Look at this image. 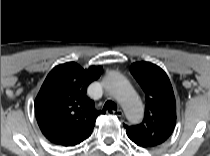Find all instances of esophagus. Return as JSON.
<instances>
[{
  "instance_id": "obj_1",
  "label": "esophagus",
  "mask_w": 210,
  "mask_h": 156,
  "mask_svg": "<svg viewBox=\"0 0 210 156\" xmlns=\"http://www.w3.org/2000/svg\"><path fill=\"white\" fill-rule=\"evenodd\" d=\"M107 113L109 112H113V113H116L118 116L122 117L124 115L123 111L121 109H118L117 111H114L112 109H109L106 111Z\"/></svg>"
}]
</instances>
